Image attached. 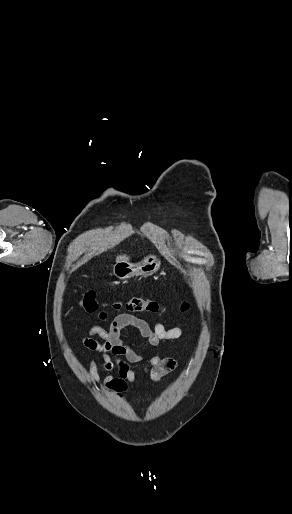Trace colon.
<instances>
[{"instance_id": "colon-1", "label": "colon", "mask_w": 292, "mask_h": 514, "mask_svg": "<svg viewBox=\"0 0 292 514\" xmlns=\"http://www.w3.org/2000/svg\"><path fill=\"white\" fill-rule=\"evenodd\" d=\"M83 306L85 310L89 313L97 312L100 308V304L96 298V295L93 291L86 292L83 298ZM124 306L125 310L129 313H156L160 310V304L154 299L143 298L140 296H131L128 298L124 304L119 303L114 306L115 310H119ZM187 308V304L184 302L181 304V309L185 310Z\"/></svg>"}]
</instances>
